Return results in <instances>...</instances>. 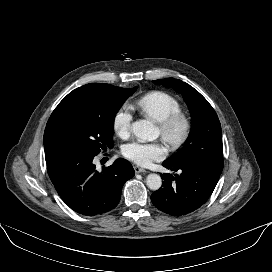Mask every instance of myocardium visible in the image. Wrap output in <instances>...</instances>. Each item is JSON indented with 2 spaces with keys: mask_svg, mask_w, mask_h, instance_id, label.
I'll return each instance as SVG.
<instances>
[{
  "mask_svg": "<svg viewBox=\"0 0 272 272\" xmlns=\"http://www.w3.org/2000/svg\"><path fill=\"white\" fill-rule=\"evenodd\" d=\"M162 138L171 148L183 144L190 135L191 121L182 112H176L159 123Z\"/></svg>",
  "mask_w": 272,
  "mask_h": 272,
  "instance_id": "f54148a6",
  "label": "myocardium"
}]
</instances>
